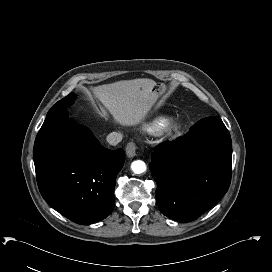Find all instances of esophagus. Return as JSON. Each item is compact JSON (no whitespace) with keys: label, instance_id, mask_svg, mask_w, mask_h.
Returning a JSON list of instances; mask_svg holds the SVG:
<instances>
[{"label":"esophagus","instance_id":"esophagus-1","mask_svg":"<svg viewBox=\"0 0 272 272\" xmlns=\"http://www.w3.org/2000/svg\"><path fill=\"white\" fill-rule=\"evenodd\" d=\"M136 149H137V146H136L135 142L130 141L126 146V155L129 158L134 157L136 155Z\"/></svg>","mask_w":272,"mask_h":272}]
</instances>
